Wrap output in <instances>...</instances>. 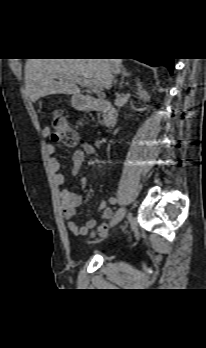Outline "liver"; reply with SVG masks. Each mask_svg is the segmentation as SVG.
<instances>
[{
  "instance_id": "liver-1",
  "label": "liver",
  "mask_w": 206,
  "mask_h": 348,
  "mask_svg": "<svg viewBox=\"0 0 206 348\" xmlns=\"http://www.w3.org/2000/svg\"><path fill=\"white\" fill-rule=\"evenodd\" d=\"M122 59H28L25 88L32 102L51 94L78 95L77 78L97 80L110 89Z\"/></svg>"
}]
</instances>
